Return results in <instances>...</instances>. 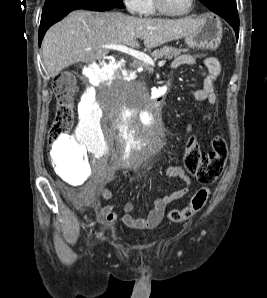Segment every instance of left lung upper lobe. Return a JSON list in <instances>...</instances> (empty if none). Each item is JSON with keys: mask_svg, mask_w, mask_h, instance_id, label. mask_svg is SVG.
Masks as SVG:
<instances>
[{"mask_svg": "<svg viewBox=\"0 0 267 298\" xmlns=\"http://www.w3.org/2000/svg\"><path fill=\"white\" fill-rule=\"evenodd\" d=\"M216 14H228L230 10L237 11L236 0H200Z\"/></svg>", "mask_w": 267, "mask_h": 298, "instance_id": "left-lung-upper-lobe-1", "label": "left lung upper lobe"}]
</instances>
